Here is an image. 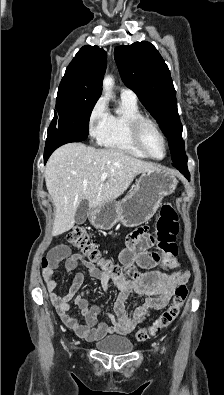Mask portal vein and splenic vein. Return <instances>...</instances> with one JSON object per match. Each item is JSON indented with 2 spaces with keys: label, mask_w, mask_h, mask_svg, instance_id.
<instances>
[{
  "label": "portal vein and splenic vein",
  "mask_w": 224,
  "mask_h": 395,
  "mask_svg": "<svg viewBox=\"0 0 224 395\" xmlns=\"http://www.w3.org/2000/svg\"><path fill=\"white\" fill-rule=\"evenodd\" d=\"M106 179H107V173H103V174L101 175L100 180H101L102 182H104Z\"/></svg>",
  "instance_id": "portal-vein-and-splenic-vein-1"
}]
</instances>
